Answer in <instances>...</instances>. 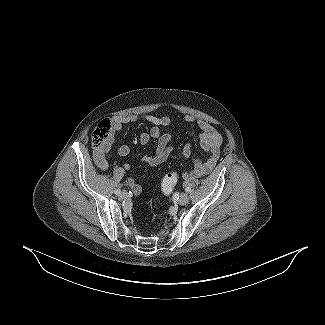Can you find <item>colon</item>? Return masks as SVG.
I'll list each match as a JSON object with an SVG mask.
<instances>
[{
	"label": "colon",
	"instance_id": "colon-1",
	"mask_svg": "<svg viewBox=\"0 0 325 325\" xmlns=\"http://www.w3.org/2000/svg\"><path fill=\"white\" fill-rule=\"evenodd\" d=\"M111 133V123L108 120H103L97 124L92 132L91 143L95 148L101 147L108 139ZM178 181V173L170 171L162 179V191L165 195H170Z\"/></svg>",
	"mask_w": 325,
	"mask_h": 325
}]
</instances>
